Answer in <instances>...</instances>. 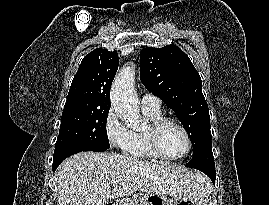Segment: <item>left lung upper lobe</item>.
Returning <instances> with one entry per match:
<instances>
[{"label":"left lung upper lobe","mask_w":269,"mask_h":205,"mask_svg":"<svg viewBox=\"0 0 269 205\" xmlns=\"http://www.w3.org/2000/svg\"><path fill=\"white\" fill-rule=\"evenodd\" d=\"M140 79L177 115L194 153L211 145L210 116L202 81L190 58L176 45L146 47L140 53Z\"/></svg>","instance_id":"1"}]
</instances>
